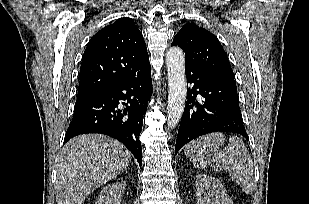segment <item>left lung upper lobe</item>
Masks as SVG:
<instances>
[{"mask_svg": "<svg viewBox=\"0 0 309 204\" xmlns=\"http://www.w3.org/2000/svg\"><path fill=\"white\" fill-rule=\"evenodd\" d=\"M173 46L185 52L187 66L204 68L216 75L234 79L227 54L217 37L195 23H186L174 37Z\"/></svg>", "mask_w": 309, "mask_h": 204, "instance_id": "5c2ea615", "label": "left lung upper lobe"}]
</instances>
